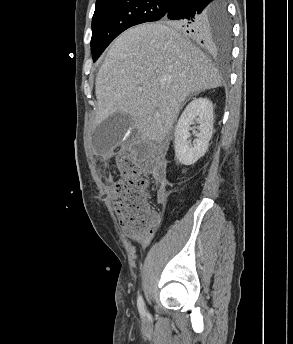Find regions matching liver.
<instances>
[{
  "label": "liver",
  "mask_w": 293,
  "mask_h": 344,
  "mask_svg": "<svg viewBox=\"0 0 293 344\" xmlns=\"http://www.w3.org/2000/svg\"><path fill=\"white\" fill-rule=\"evenodd\" d=\"M177 29L143 24L115 39L96 77V125L124 113L142 140L163 141L189 95L221 85L211 60Z\"/></svg>",
  "instance_id": "obj_1"
}]
</instances>
